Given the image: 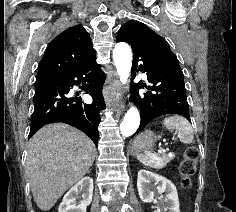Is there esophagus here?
Wrapping results in <instances>:
<instances>
[{
    "label": "esophagus",
    "mask_w": 236,
    "mask_h": 212,
    "mask_svg": "<svg viewBox=\"0 0 236 212\" xmlns=\"http://www.w3.org/2000/svg\"><path fill=\"white\" fill-rule=\"evenodd\" d=\"M106 95L108 98V103L115 109H122L124 107L122 91L116 74H114L112 80L107 86Z\"/></svg>",
    "instance_id": "esophagus-1"
}]
</instances>
